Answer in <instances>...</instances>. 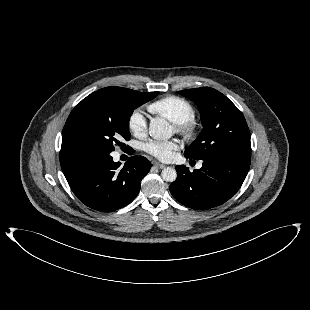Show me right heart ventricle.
Segmentation results:
<instances>
[{
	"instance_id": "obj_1",
	"label": "right heart ventricle",
	"mask_w": 310,
	"mask_h": 310,
	"mask_svg": "<svg viewBox=\"0 0 310 310\" xmlns=\"http://www.w3.org/2000/svg\"><path fill=\"white\" fill-rule=\"evenodd\" d=\"M148 109L175 124L192 120L195 117L194 106L185 98L175 95H168L152 102Z\"/></svg>"
}]
</instances>
